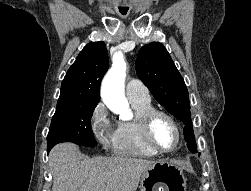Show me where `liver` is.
<instances>
[{
    "instance_id": "liver-1",
    "label": "liver",
    "mask_w": 251,
    "mask_h": 191,
    "mask_svg": "<svg viewBox=\"0 0 251 191\" xmlns=\"http://www.w3.org/2000/svg\"><path fill=\"white\" fill-rule=\"evenodd\" d=\"M77 151L75 143L52 147V191H136L142 173L156 163L127 155L81 159Z\"/></svg>"
}]
</instances>
